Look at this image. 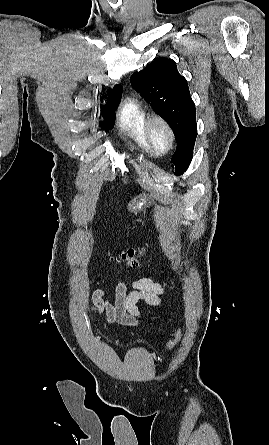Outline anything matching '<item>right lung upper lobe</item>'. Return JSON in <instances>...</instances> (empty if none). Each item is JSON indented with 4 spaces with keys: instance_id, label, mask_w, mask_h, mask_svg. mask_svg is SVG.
I'll use <instances>...</instances> for the list:
<instances>
[{
    "instance_id": "obj_1",
    "label": "right lung upper lobe",
    "mask_w": 269,
    "mask_h": 445,
    "mask_svg": "<svg viewBox=\"0 0 269 445\" xmlns=\"http://www.w3.org/2000/svg\"><path fill=\"white\" fill-rule=\"evenodd\" d=\"M121 96H122V87L120 85H116L114 89L109 93L108 104L102 106V108H109L115 105L118 101H120Z\"/></svg>"
}]
</instances>
